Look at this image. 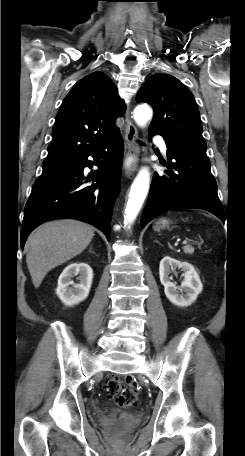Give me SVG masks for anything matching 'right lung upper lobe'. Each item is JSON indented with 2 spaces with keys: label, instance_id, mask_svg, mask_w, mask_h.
Here are the masks:
<instances>
[{
  "label": "right lung upper lobe",
  "instance_id": "1",
  "mask_svg": "<svg viewBox=\"0 0 245 456\" xmlns=\"http://www.w3.org/2000/svg\"><path fill=\"white\" fill-rule=\"evenodd\" d=\"M124 113L117 89L105 73L82 78L57 113L43 170L64 166L118 133L114 123Z\"/></svg>",
  "mask_w": 245,
  "mask_h": 456
}]
</instances>
